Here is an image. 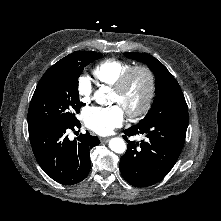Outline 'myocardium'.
Here are the masks:
<instances>
[{
  "label": "myocardium",
  "mask_w": 221,
  "mask_h": 221,
  "mask_svg": "<svg viewBox=\"0 0 221 221\" xmlns=\"http://www.w3.org/2000/svg\"><path fill=\"white\" fill-rule=\"evenodd\" d=\"M137 73L143 74L147 82V90L142 104L135 110L126 111L127 116L136 119L143 116L151 107L156 93V78L153 71L145 65L131 66L113 87L115 93L123 96L129 88L132 78Z\"/></svg>",
  "instance_id": "obj_1"
}]
</instances>
